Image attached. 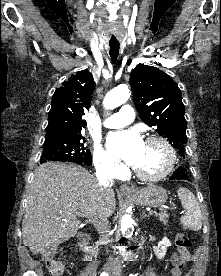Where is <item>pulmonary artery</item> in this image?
<instances>
[{
	"label": "pulmonary artery",
	"mask_w": 221,
	"mask_h": 276,
	"mask_svg": "<svg viewBox=\"0 0 221 276\" xmlns=\"http://www.w3.org/2000/svg\"><path fill=\"white\" fill-rule=\"evenodd\" d=\"M134 117V109L130 105H123L119 112L106 118L103 124L107 128H120L130 124L134 120Z\"/></svg>",
	"instance_id": "1"
}]
</instances>
